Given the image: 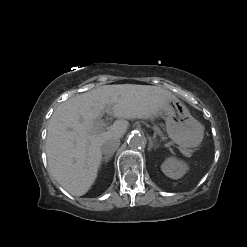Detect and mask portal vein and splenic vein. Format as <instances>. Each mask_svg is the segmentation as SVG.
I'll return each instance as SVG.
<instances>
[{
  "instance_id": "obj_1",
  "label": "portal vein and splenic vein",
  "mask_w": 247,
  "mask_h": 247,
  "mask_svg": "<svg viewBox=\"0 0 247 247\" xmlns=\"http://www.w3.org/2000/svg\"><path fill=\"white\" fill-rule=\"evenodd\" d=\"M106 126V123H104L103 121H98V122H96V129L98 130V131H100L101 130V128L102 127H105ZM168 146H169V144H167Z\"/></svg>"
}]
</instances>
